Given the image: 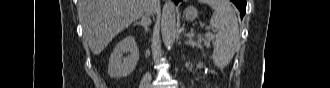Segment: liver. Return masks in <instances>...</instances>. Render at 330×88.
I'll return each instance as SVG.
<instances>
[{"label":"liver","mask_w":330,"mask_h":88,"mask_svg":"<svg viewBox=\"0 0 330 88\" xmlns=\"http://www.w3.org/2000/svg\"><path fill=\"white\" fill-rule=\"evenodd\" d=\"M151 0H80L78 13L84 39L94 55L100 54L109 42L133 21L142 17ZM158 1L153 0L154 9Z\"/></svg>","instance_id":"6515ba94"}]
</instances>
